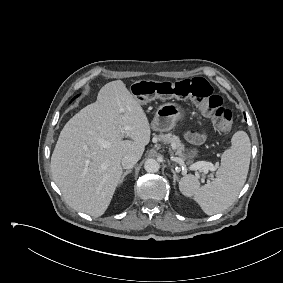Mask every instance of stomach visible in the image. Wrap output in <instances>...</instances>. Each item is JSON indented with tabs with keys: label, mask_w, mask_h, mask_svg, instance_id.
Masks as SVG:
<instances>
[{
	"label": "stomach",
	"mask_w": 283,
	"mask_h": 283,
	"mask_svg": "<svg viewBox=\"0 0 283 283\" xmlns=\"http://www.w3.org/2000/svg\"><path fill=\"white\" fill-rule=\"evenodd\" d=\"M184 111L176 103H165L156 111V114L152 120L151 126L152 129L159 132H167L173 129L178 121L183 120ZM198 151L192 149L184 154V158L191 160L196 157Z\"/></svg>",
	"instance_id": "stomach-1"
}]
</instances>
